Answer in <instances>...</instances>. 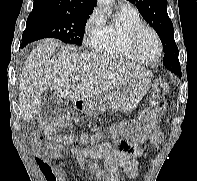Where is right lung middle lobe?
Segmentation results:
<instances>
[{
  "instance_id": "obj_1",
  "label": "right lung middle lobe",
  "mask_w": 197,
  "mask_h": 181,
  "mask_svg": "<svg viewBox=\"0 0 197 181\" xmlns=\"http://www.w3.org/2000/svg\"><path fill=\"white\" fill-rule=\"evenodd\" d=\"M92 12L62 13L47 10H32L23 32L24 41L42 38H57L64 43L82 44L85 25Z\"/></svg>"
}]
</instances>
